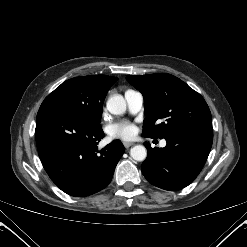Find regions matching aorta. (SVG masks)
Wrapping results in <instances>:
<instances>
[{
  "label": "aorta",
  "mask_w": 247,
  "mask_h": 247,
  "mask_svg": "<svg viewBox=\"0 0 247 247\" xmlns=\"http://www.w3.org/2000/svg\"><path fill=\"white\" fill-rule=\"evenodd\" d=\"M106 106L107 110L114 115H121L126 111V101L120 94L111 96ZM130 156L136 161H144L147 157V150L143 145H136L131 148Z\"/></svg>",
  "instance_id": "762f6f07"
}]
</instances>
